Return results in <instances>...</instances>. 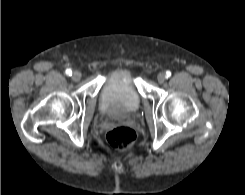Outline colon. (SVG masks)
Returning <instances> with one entry per match:
<instances>
[{
	"label": "colon",
	"mask_w": 245,
	"mask_h": 195,
	"mask_svg": "<svg viewBox=\"0 0 245 195\" xmlns=\"http://www.w3.org/2000/svg\"><path fill=\"white\" fill-rule=\"evenodd\" d=\"M106 139L113 147L120 150H127L133 146L136 135L128 127H116L107 132Z\"/></svg>",
	"instance_id": "1"
}]
</instances>
